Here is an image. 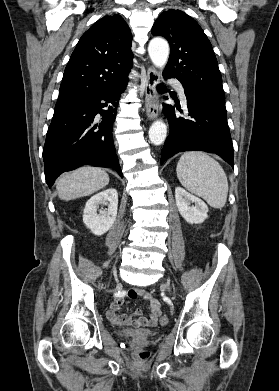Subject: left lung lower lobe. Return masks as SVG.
<instances>
[{
  "instance_id": "0a47b994",
  "label": "left lung lower lobe",
  "mask_w": 279,
  "mask_h": 391,
  "mask_svg": "<svg viewBox=\"0 0 279 391\" xmlns=\"http://www.w3.org/2000/svg\"><path fill=\"white\" fill-rule=\"evenodd\" d=\"M184 92L187 98L185 116L175 114L174 106L163 104V111L170 122V132L161 151V164L178 152L206 151L218 154L234 168L225 106L185 88ZM175 106L182 112L180 105Z\"/></svg>"
}]
</instances>
